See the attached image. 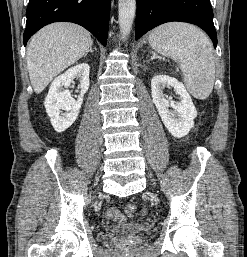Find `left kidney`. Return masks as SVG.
Listing matches in <instances>:
<instances>
[{"label":"left kidney","instance_id":"obj_1","mask_svg":"<svg viewBox=\"0 0 247 257\" xmlns=\"http://www.w3.org/2000/svg\"><path fill=\"white\" fill-rule=\"evenodd\" d=\"M165 87H172L180 95V101L168 100L163 94ZM153 102L159 112L163 124L176 138L186 136L194 126L197 111L184 85L173 77L156 75L151 80ZM169 106L174 111L169 110Z\"/></svg>","mask_w":247,"mask_h":257}]
</instances>
